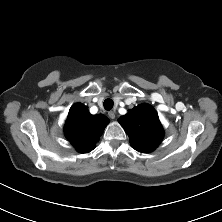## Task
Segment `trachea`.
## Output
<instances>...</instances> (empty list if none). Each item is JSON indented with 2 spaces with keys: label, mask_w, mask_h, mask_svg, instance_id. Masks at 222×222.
<instances>
[{
  "label": "trachea",
  "mask_w": 222,
  "mask_h": 222,
  "mask_svg": "<svg viewBox=\"0 0 222 222\" xmlns=\"http://www.w3.org/2000/svg\"><path fill=\"white\" fill-rule=\"evenodd\" d=\"M113 101L111 99H106L104 101V108L107 110V111H110L112 108H113Z\"/></svg>",
  "instance_id": "1"
}]
</instances>
